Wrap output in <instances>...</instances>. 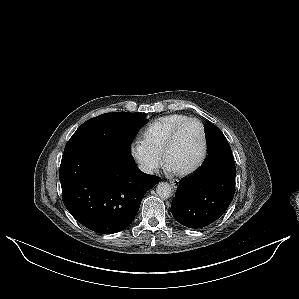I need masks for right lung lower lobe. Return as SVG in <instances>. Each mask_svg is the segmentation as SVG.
<instances>
[{
  "label": "right lung lower lobe",
  "instance_id": "1",
  "mask_svg": "<svg viewBox=\"0 0 299 299\" xmlns=\"http://www.w3.org/2000/svg\"><path fill=\"white\" fill-rule=\"evenodd\" d=\"M59 178L71 215L100 234L131 224L144 194L161 181L141 172L130 154L108 145L73 142L63 152Z\"/></svg>",
  "mask_w": 299,
  "mask_h": 299
}]
</instances>
